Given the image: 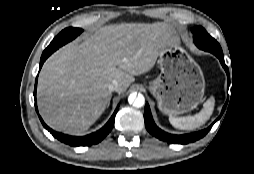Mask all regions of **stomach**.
I'll return each mask as SVG.
<instances>
[{
	"instance_id": "0dacf381",
	"label": "stomach",
	"mask_w": 254,
	"mask_h": 174,
	"mask_svg": "<svg viewBox=\"0 0 254 174\" xmlns=\"http://www.w3.org/2000/svg\"><path fill=\"white\" fill-rule=\"evenodd\" d=\"M160 74L148 89L158 108L169 116L187 113L202 101L205 80L199 65L176 42L166 43L158 56Z\"/></svg>"
}]
</instances>
